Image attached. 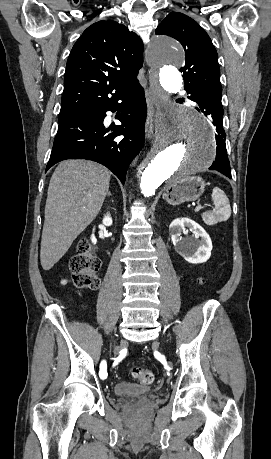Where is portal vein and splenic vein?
<instances>
[{
  "label": "portal vein and splenic vein",
  "instance_id": "1",
  "mask_svg": "<svg viewBox=\"0 0 271 459\" xmlns=\"http://www.w3.org/2000/svg\"><path fill=\"white\" fill-rule=\"evenodd\" d=\"M202 206H203V208H202ZM202 206H197V208H195V212H198V210H201V208L204 210V209H205L204 207H205L206 205L203 204Z\"/></svg>",
  "mask_w": 271,
  "mask_h": 459
}]
</instances>
